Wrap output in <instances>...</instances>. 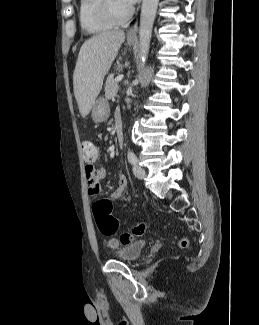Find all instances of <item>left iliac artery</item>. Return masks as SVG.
I'll list each match as a JSON object with an SVG mask.
<instances>
[{
	"instance_id": "left-iliac-artery-1",
	"label": "left iliac artery",
	"mask_w": 259,
	"mask_h": 325,
	"mask_svg": "<svg viewBox=\"0 0 259 325\" xmlns=\"http://www.w3.org/2000/svg\"><path fill=\"white\" fill-rule=\"evenodd\" d=\"M127 158H128V161H129L131 164H132V161H133V160H137V157H136L135 153H134L132 150H128Z\"/></svg>"
}]
</instances>
